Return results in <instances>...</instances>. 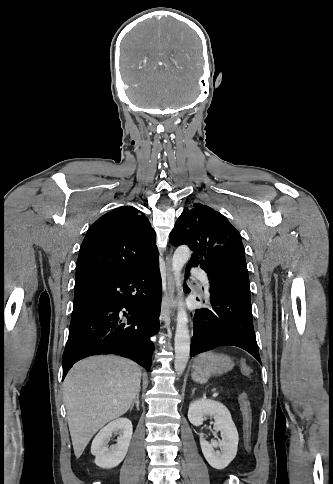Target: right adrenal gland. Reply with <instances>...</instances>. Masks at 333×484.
Here are the masks:
<instances>
[{"label":"right adrenal gland","instance_id":"2a0ac1e0","mask_svg":"<svg viewBox=\"0 0 333 484\" xmlns=\"http://www.w3.org/2000/svg\"><path fill=\"white\" fill-rule=\"evenodd\" d=\"M139 392H140V391H138V393H137V395H136L135 399L133 400L130 410H132V409H133L134 404H136L137 410H140V408H139V405H140V402H139Z\"/></svg>","mask_w":333,"mask_h":484}]
</instances>
